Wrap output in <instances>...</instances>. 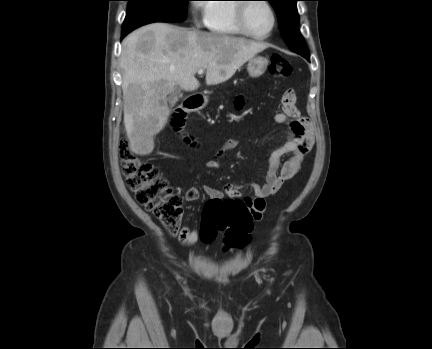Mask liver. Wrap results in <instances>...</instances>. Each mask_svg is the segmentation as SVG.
Returning a JSON list of instances; mask_svg holds the SVG:
<instances>
[{"label":"liver","instance_id":"obj_1","mask_svg":"<svg viewBox=\"0 0 432 349\" xmlns=\"http://www.w3.org/2000/svg\"><path fill=\"white\" fill-rule=\"evenodd\" d=\"M269 45L245 38L152 23L122 42L124 125L130 149L146 155L166 125L167 96L175 86L196 90L195 74L206 70V84L230 79L237 69Z\"/></svg>","mask_w":432,"mask_h":349}]
</instances>
